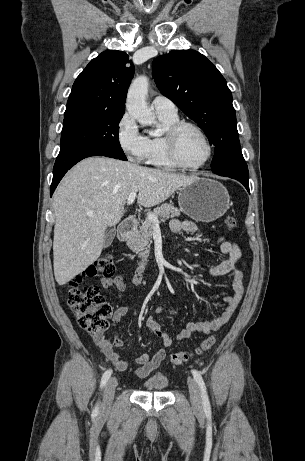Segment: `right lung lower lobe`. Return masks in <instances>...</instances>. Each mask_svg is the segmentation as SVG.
<instances>
[{
	"label": "right lung lower lobe",
	"instance_id": "right-lung-lower-lobe-1",
	"mask_svg": "<svg viewBox=\"0 0 305 461\" xmlns=\"http://www.w3.org/2000/svg\"><path fill=\"white\" fill-rule=\"evenodd\" d=\"M91 156H106V157H111L114 158L111 154L103 152V151H87L84 153H76L73 155H70L64 159H58L55 162L54 168H53V180L51 184V189H50V194L52 196L55 188L57 187L58 183L62 179V177L65 175V173L76 163H78L80 160L91 157Z\"/></svg>",
	"mask_w": 305,
	"mask_h": 461
}]
</instances>
